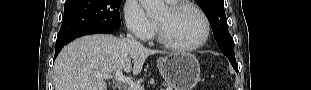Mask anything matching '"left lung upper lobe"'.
<instances>
[{
    "instance_id": "5c2ea615",
    "label": "left lung upper lobe",
    "mask_w": 311,
    "mask_h": 90,
    "mask_svg": "<svg viewBox=\"0 0 311 90\" xmlns=\"http://www.w3.org/2000/svg\"><path fill=\"white\" fill-rule=\"evenodd\" d=\"M197 2L211 24L220 51L230 62H235L234 41L228 31L224 0H197Z\"/></svg>"
}]
</instances>
